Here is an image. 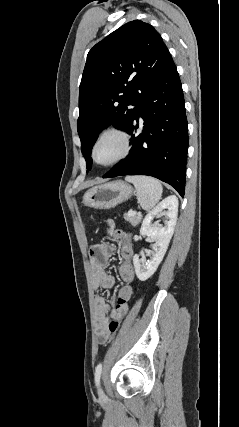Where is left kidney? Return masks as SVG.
Returning a JSON list of instances; mask_svg holds the SVG:
<instances>
[{"instance_id": "1", "label": "left kidney", "mask_w": 239, "mask_h": 427, "mask_svg": "<svg viewBox=\"0 0 239 427\" xmlns=\"http://www.w3.org/2000/svg\"><path fill=\"white\" fill-rule=\"evenodd\" d=\"M164 212L167 221L164 226L152 225L153 218ZM178 215V199L176 196H169L160 202L144 218L140 234L155 241L154 253L150 261L142 263L136 254L133 257V264L139 280L145 281L157 270L159 264L167 251L172 238Z\"/></svg>"}]
</instances>
